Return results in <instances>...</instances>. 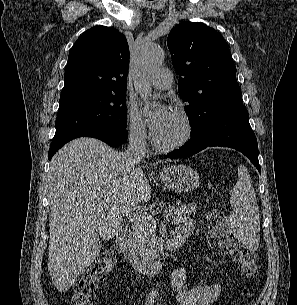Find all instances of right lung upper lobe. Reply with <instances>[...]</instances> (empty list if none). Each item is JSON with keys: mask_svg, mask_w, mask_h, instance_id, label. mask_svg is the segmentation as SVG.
Wrapping results in <instances>:
<instances>
[{"mask_svg": "<svg viewBox=\"0 0 297 305\" xmlns=\"http://www.w3.org/2000/svg\"><path fill=\"white\" fill-rule=\"evenodd\" d=\"M128 68L126 37L112 27H93L70 50L60 99L127 90Z\"/></svg>", "mask_w": 297, "mask_h": 305, "instance_id": "right-lung-upper-lobe-1", "label": "right lung upper lobe"}]
</instances>
